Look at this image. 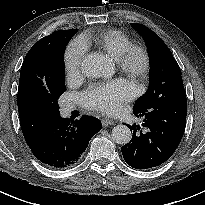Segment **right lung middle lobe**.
<instances>
[{"label": "right lung middle lobe", "instance_id": "1", "mask_svg": "<svg viewBox=\"0 0 205 205\" xmlns=\"http://www.w3.org/2000/svg\"><path fill=\"white\" fill-rule=\"evenodd\" d=\"M71 36L62 39L56 46L48 72L46 87L40 92L39 100L45 110L54 116H60L58 99L65 92L64 50Z\"/></svg>", "mask_w": 205, "mask_h": 205}]
</instances>
